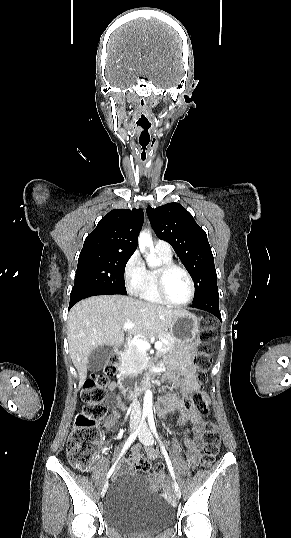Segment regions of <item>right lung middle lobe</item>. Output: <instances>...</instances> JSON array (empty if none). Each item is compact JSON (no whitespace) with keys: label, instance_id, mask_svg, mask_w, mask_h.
I'll return each mask as SVG.
<instances>
[{"label":"right lung middle lobe","instance_id":"obj_1","mask_svg":"<svg viewBox=\"0 0 291 538\" xmlns=\"http://www.w3.org/2000/svg\"><path fill=\"white\" fill-rule=\"evenodd\" d=\"M131 256L114 251L81 252L71 298L80 294L125 295L124 269Z\"/></svg>","mask_w":291,"mask_h":538}]
</instances>
